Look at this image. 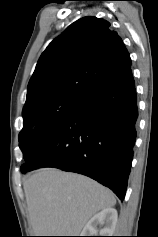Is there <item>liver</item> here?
<instances>
[{
	"mask_svg": "<svg viewBox=\"0 0 158 237\" xmlns=\"http://www.w3.org/2000/svg\"><path fill=\"white\" fill-rule=\"evenodd\" d=\"M23 188L34 236H78L93 215L116 203L96 181L55 168L27 174Z\"/></svg>",
	"mask_w": 158,
	"mask_h": 237,
	"instance_id": "6515ba94",
	"label": "liver"
}]
</instances>
